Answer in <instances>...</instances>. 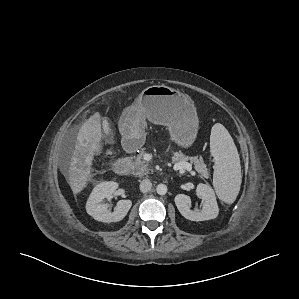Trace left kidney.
<instances>
[{
  "instance_id": "left-kidney-1",
  "label": "left kidney",
  "mask_w": 299,
  "mask_h": 299,
  "mask_svg": "<svg viewBox=\"0 0 299 299\" xmlns=\"http://www.w3.org/2000/svg\"><path fill=\"white\" fill-rule=\"evenodd\" d=\"M196 194L204 201L200 211L190 209L191 199L189 196L185 194L175 196L174 201L181 215L191 221L215 219L218 216L219 208L213 189L209 185L200 183L197 185Z\"/></svg>"
}]
</instances>
